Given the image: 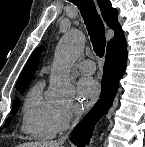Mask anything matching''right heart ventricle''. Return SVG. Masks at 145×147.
Here are the masks:
<instances>
[{"instance_id": "1", "label": "right heart ventricle", "mask_w": 145, "mask_h": 147, "mask_svg": "<svg viewBox=\"0 0 145 147\" xmlns=\"http://www.w3.org/2000/svg\"><path fill=\"white\" fill-rule=\"evenodd\" d=\"M43 82L35 83L28 91L22 106L21 131L35 139L55 136V117L58 108L43 94Z\"/></svg>"}]
</instances>
